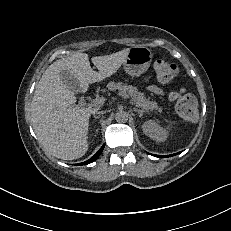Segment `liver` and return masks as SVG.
<instances>
[{
    "label": "liver",
    "mask_w": 231,
    "mask_h": 231,
    "mask_svg": "<svg viewBox=\"0 0 231 231\" xmlns=\"http://www.w3.org/2000/svg\"><path fill=\"white\" fill-rule=\"evenodd\" d=\"M129 50L92 57L98 72L91 68L88 54L80 52L53 62L45 70L31 102V124L46 152L65 160L82 157L88 150L89 118L97 110L75 106L74 92L62 82L60 73L71 72L79 80L81 92H86L89 84L116 73Z\"/></svg>",
    "instance_id": "6515ba94"
}]
</instances>
